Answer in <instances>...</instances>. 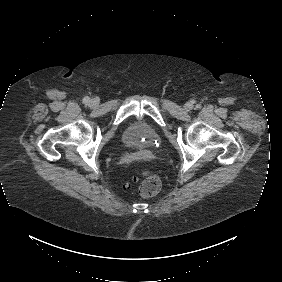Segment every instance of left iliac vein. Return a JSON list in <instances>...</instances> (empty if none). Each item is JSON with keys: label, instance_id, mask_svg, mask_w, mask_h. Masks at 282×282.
<instances>
[{"label": "left iliac vein", "instance_id": "obj_1", "mask_svg": "<svg viewBox=\"0 0 282 282\" xmlns=\"http://www.w3.org/2000/svg\"><path fill=\"white\" fill-rule=\"evenodd\" d=\"M184 108L185 110L189 111L192 108V105L190 103H186Z\"/></svg>", "mask_w": 282, "mask_h": 282}]
</instances>
